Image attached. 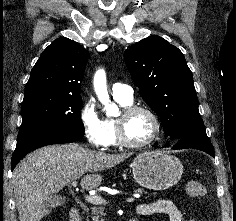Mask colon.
I'll return each mask as SVG.
<instances>
[{
  "mask_svg": "<svg viewBox=\"0 0 236 221\" xmlns=\"http://www.w3.org/2000/svg\"><path fill=\"white\" fill-rule=\"evenodd\" d=\"M186 192L191 198H201L205 195V188L199 181H189L186 184Z\"/></svg>",
  "mask_w": 236,
  "mask_h": 221,
  "instance_id": "1",
  "label": "colon"
}]
</instances>
